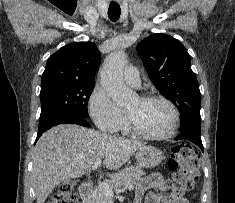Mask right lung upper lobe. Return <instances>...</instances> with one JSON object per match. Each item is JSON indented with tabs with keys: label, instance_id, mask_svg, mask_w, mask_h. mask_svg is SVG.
<instances>
[{
	"label": "right lung upper lobe",
	"instance_id": "1",
	"mask_svg": "<svg viewBox=\"0 0 235 203\" xmlns=\"http://www.w3.org/2000/svg\"><path fill=\"white\" fill-rule=\"evenodd\" d=\"M100 58L94 43H70L48 58L41 86L57 82H95Z\"/></svg>",
	"mask_w": 235,
	"mask_h": 203
}]
</instances>
